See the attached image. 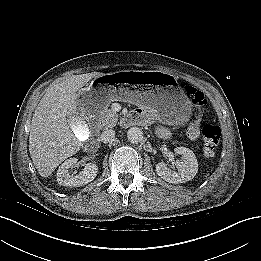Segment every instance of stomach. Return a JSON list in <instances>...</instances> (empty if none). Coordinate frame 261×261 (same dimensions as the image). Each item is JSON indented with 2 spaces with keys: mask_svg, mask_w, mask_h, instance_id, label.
Segmentation results:
<instances>
[{
  "mask_svg": "<svg viewBox=\"0 0 261 261\" xmlns=\"http://www.w3.org/2000/svg\"><path fill=\"white\" fill-rule=\"evenodd\" d=\"M88 112H100L111 101H129L155 107L165 122L180 125L188 120L191 104L177 87L176 78L161 71L127 70L96 77L81 89Z\"/></svg>",
  "mask_w": 261,
  "mask_h": 261,
  "instance_id": "obj_1",
  "label": "stomach"
}]
</instances>
